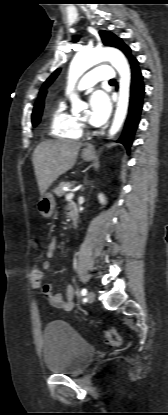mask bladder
<instances>
[{"mask_svg":"<svg viewBox=\"0 0 168 415\" xmlns=\"http://www.w3.org/2000/svg\"><path fill=\"white\" fill-rule=\"evenodd\" d=\"M94 356V347L66 322L52 321L44 328L43 358L49 372L79 375Z\"/></svg>","mask_w":168,"mask_h":415,"instance_id":"obj_1","label":"bladder"}]
</instances>
